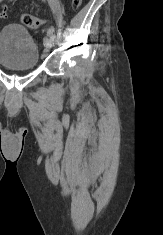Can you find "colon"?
Masks as SVG:
<instances>
[{"mask_svg": "<svg viewBox=\"0 0 163 235\" xmlns=\"http://www.w3.org/2000/svg\"><path fill=\"white\" fill-rule=\"evenodd\" d=\"M82 4V0H71V5L73 8H79ZM8 10L7 8L0 9V18H5L7 16ZM21 22L23 25L29 28H39L43 25V20L30 15V14H21L20 16Z\"/></svg>", "mask_w": 163, "mask_h": 235, "instance_id": "obj_1", "label": "colon"}]
</instances>
